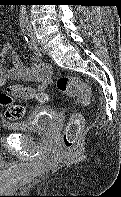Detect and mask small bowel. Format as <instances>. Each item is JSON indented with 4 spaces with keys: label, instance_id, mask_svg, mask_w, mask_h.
I'll return each instance as SVG.
<instances>
[{
    "label": "small bowel",
    "instance_id": "small-bowel-1",
    "mask_svg": "<svg viewBox=\"0 0 121 197\" xmlns=\"http://www.w3.org/2000/svg\"><path fill=\"white\" fill-rule=\"evenodd\" d=\"M1 22L2 17L0 16V23ZM8 58L10 65H7ZM8 79H22L37 82L38 85L36 88L28 87L32 92L31 97L17 96L23 99H31L37 92L44 91L50 84L52 80V70L49 65L41 61L36 51L31 56V66L25 67L16 53L10 47L4 46L0 49V86H3Z\"/></svg>",
    "mask_w": 121,
    "mask_h": 197
}]
</instances>
